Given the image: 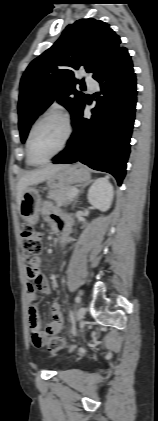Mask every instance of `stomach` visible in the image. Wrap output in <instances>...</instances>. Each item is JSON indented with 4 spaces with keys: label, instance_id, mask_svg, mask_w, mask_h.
Returning <instances> with one entry per match:
<instances>
[{
    "label": "stomach",
    "instance_id": "0dacf381",
    "mask_svg": "<svg viewBox=\"0 0 158 421\" xmlns=\"http://www.w3.org/2000/svg\"><path fill=\"white\" fill-rule=\"evenodd\" d=\"M90 179V172L83 165L77 163L66 165L46 180L50 188L60 189L73 184L87 182ZM41 198L34 187H27L23 192L19 205V212L22 218L30 225L38 222Z\"/></svg>",
    "mask_w": 158,
    "mask_h": 421
}]
</instances>
